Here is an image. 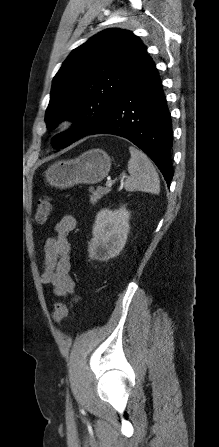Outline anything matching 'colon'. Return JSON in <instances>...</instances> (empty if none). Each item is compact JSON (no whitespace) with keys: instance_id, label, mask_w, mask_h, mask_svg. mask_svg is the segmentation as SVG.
I'll use <instances>...</instances> for the list:
<instances>
[{"instance_id":"5ec220e1","label":"colon","mask_w":219,"mask_h":447,"mask_svg":"<svg viewBox=\"0 0 219 447\" xmlns=\"http://www.w3.org/2000/svg\"><path fill=\"white\" fill-rule=\"evenodd\" d=\"M51 198L44 196L37 201L36 204V220L39 223H44L48 219L51 212ZM69 314V308L65 303L57 302L51 312L53 321L57 324L62 323Z\"/></svg>"}]
</instances>
